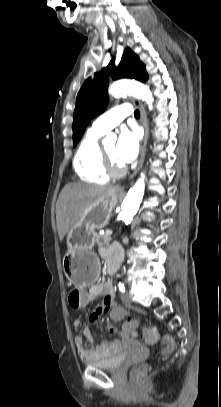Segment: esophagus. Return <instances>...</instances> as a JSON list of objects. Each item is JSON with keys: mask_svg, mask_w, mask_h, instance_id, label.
I'll list each match as a JSON object with an SVG mask.
<instances>
[{"mask_svg": "<svg viewBox=\"0 0 221 407\" xmlns=\"http://www.w3.org/2000/svg\"><path fill=\"white\" fill-rule=\"evenodd\" d=\"M132 102L140 110V113H141V119L140 120H141V124H142V126L144 128V137H143L142 143H141L139 164H138L137 169L134 172V175H135V174L138 173V171L142 167V164H143V161H144L145 152H146V144H147L148 135H149V128H148V123H147V114H146L144 105L140 101H138L136 99H132ZM113 191L115 193H123L124 192V187L116 186L113 189Z\"/></svg>", "mask_w": 221, "mask_h": 407, "instance_id": "obj_1", "label": "esophagus"}]
</instances>
